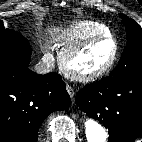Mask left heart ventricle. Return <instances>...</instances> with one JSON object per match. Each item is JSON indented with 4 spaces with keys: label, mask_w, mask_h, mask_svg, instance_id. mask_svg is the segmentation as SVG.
Returning a JSON list of instances; mask_svg holds the SVG:
<instances>
[{
    "label": "left heart ventricle",
    "mask_w": 142,
    "mask_h": 142,
    "mask_svg": "<svg viewBox=\"0 0 142 142\" xmlns=\"http://www.w3.org/2000/svg\"><path fill=\"white\" fill-rule=\"evenodd\" d=\"M113 49V43L109 40L96 42L75 58L72 66L84 72L96 70L111 58Z\"/></svg>",
    "instance_id": "left-heart-ventricle-1"
}]
</instances>
